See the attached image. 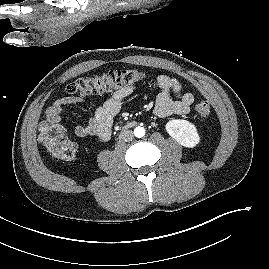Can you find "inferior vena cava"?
I'll use <instances>...</instances> for the list:
<instances>
[{"instance_id":"1","label":"inferior vena cava","mask_w":269,"mask_h":269,"mask_svg":"<svg viewBox=\"0 0 269 269\" xmlns=\"http://www.w3.org/2000/svg\"><path fill=\"white\" fill-rule=\"evenodd\" d=\"M133 137H134V134L131 130H124L119 135V139L125 142L131 141Z\"/></svg>"}]
</instances>
